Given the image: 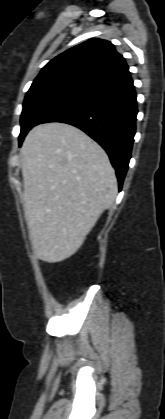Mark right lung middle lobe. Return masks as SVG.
Segmentation results:
<instances>
[{"instance_id":"dd1d6c3e","label":"right lung middle lobe","mask_w":165,"mask_h":419,"mask_svg":"<svg viewBox=\"0 0 165 419\" xmlns=\"http://www.w3.org/2000/svg\"><path fill=\"white\" fill-rule=\"evenodd\" d=\"M82 95H84L82 91L59 86L40 88L27 92L20 118L19 145L22 144L28 131L44 115Z\"/></svg>"}]
</instances>
